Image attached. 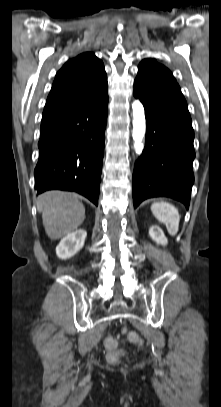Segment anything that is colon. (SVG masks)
<instances>
[{
  "label": "colon",
  "mask_w": 221,
  "mask_h": 407,
  "mask_svg": "<svg viewBox=\"0 0 221 407\" xmlns=\"http://www.w3.org/2000/svg\"><path fill=\"white\" fill-rule=\"evenodd\" d=\"M128 340L132 344L140 345L142 343L141 338L138 336L137 333L132 332V331H126ZM104 345L106 349L108 350V360L111 363H116L118 362L125 354L124 351L118 350L117 345H118V338L117 337H108L105 339Z\"/></svg>",
  "instance_id": "obj_1"
}]
</instances>
